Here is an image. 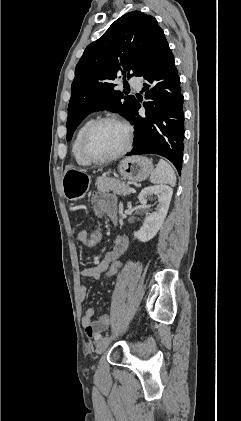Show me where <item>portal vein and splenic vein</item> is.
<instances>
[{
  "mask_svg": "<svg viewBox=\"0 0 241 421\" xmlns=\"http://www.w3.org/2000/svg\"><path fill=\"white\" fill-rule=\"evenodd\" d=\"M129 190L133 193L136 192V190L134 188H130Z\"/></svg>",
  "mask_w": 241,
  "mask_h": 421,
  "instance_id": "18ae733b",
  "label": "portal vein and splenic vein"
}]
</instances>
